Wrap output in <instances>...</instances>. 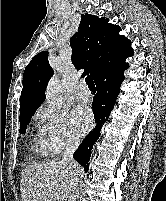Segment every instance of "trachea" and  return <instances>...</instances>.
I'll use <instances>...</instances> for the list:
<instances>
[{
	"instance_id": "1",
	"label": "trachea",
	"mask_w": 166,
	"mask_h": 201,
	"mask_svg": "<svg viewBox=\"0 0 166 201\" xmlns=\"http://www.w3.org/2000/svg\"><path fill=\"white\" fill-rule=\"evenodd\" d=\"M85 81H86L88 87H89L91 90H95V89H96V88H95L94 81H93V79H92L91 76H87L86 79H85Z\"/></svg>"
}]
</instances>
